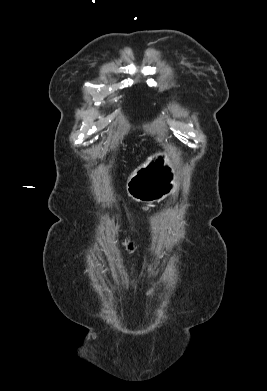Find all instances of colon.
<instances>
[{
    "instance_id": "colon-1",
    "label": "colon",
    "mask_w": 267,
    "mask_h": 391,
    "mask_svg": "<svg viewBox=\"0 0 267 391\" xmlns=\"http://www.w3.org/2000/svg\"><path fill=\"white\" fill-rule=\"evenodd\" d=\"M129 248H131V249H132V248H133V245H132V244H130V245H129Z\"/></svg>"
}]
</instances>
